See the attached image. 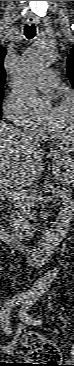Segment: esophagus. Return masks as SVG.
Here are the masks:
<instances>
[{
    "mask_svg": "<svg viewBox=\"0 0 74 366\" xmlns=\"http://www.w3.org/2000/svg\"><path fill=\"white\" fill-rule=\"evenodd\" d=\"M26 22L28 24H34V23H38V18L34 17V16H30L27 18Z\"/></svg>",
    "mask_w": 74,
    "mask_h": 366,
    "instance_id": "1",
    "label": "esophagus"
}]
</instances>
